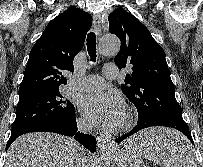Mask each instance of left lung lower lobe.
<instances>
[{
  "instance_id": "1",
  "label": "left lung lower lobe",
  "mask_w": 203,
  "mask_h": 167,
  "mask_svg": "<svg viewBox=\"0 0 203 167\" xmlns=\"http://www.w3.org/2000/svg\"><path fill=\"white\" fill-rule=\"evenodd\" d=\"M153 126H164V127L174 128V129L180 131L181 133H183L190 140V142L194 145L191 133L189 131V127L183 119H170V120H163V121H157V122H151V123H137V125L129 133L116 139V142H121L124 139H126L127 137L138 132L139 130H142V129H145L148 127H153ZM182 137L185 139L184 136H182ZM186 142L189 143L187 140H186ZM184 144H186V143H184ZM149 146H151V143L149 140L145 141V142H138L135 145L136 148H138V147L146 148Z\"/></svg>"
}]
</instances>
